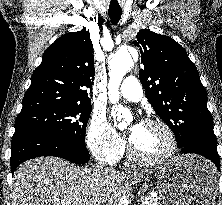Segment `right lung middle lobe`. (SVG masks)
<instances>
[{
  "mask_svg": "<svg viewBox=\"0 0 222 205\" xmlns=\"http://www.w3.org/2000/svg\"><path fill=\"white\" fill-rule=\"evenodd\" d=\"M91 105H49L21 112L15 130L38 129L85 145V131Z\"/></svg>",
  "mask_w": 222,
  "mask_h": 205,
  "instance_id": "obj_1",
  "label": "right lung middle lobe"
}]
</instances>
